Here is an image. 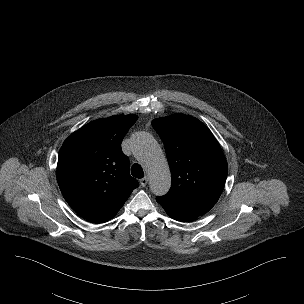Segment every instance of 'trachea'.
<instances>
[{
	"instance_id": "3493384b",
	"label": "trachea",
	"mask_w": 304,
	"mask_h": 304,
	"mask_svg": "<svg viewBox=\"0 0 304 304\" xmlns=\"http://www.w3.org/2000/svg\"><path fill=\"white\" fill-rule=\"evenodd\" d=\"M131 174L136 177V178H143L144 177V172H143V169L142 167L135 163L132 165L131 167Z\"/></svg>"
}]
</instances>
